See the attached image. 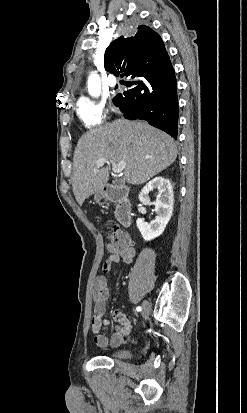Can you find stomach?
Masks as SVG:
<instances>
[{
	"label": "stomach",
	"mask_w": 247,
	"mask_h": 413,
	"mask_svg": "<svg viewBox=\"0 0 247 413\" xmlns=\"http://www.w3.org/2000/svg\"><path fill=\"white\" fill-rule=\"evenodd\" d=\"M94 198L96 202H100V200H103V198H107V194L105 190H103L102 188V190H97V192H95Z\"/></svg>",
	"instance_id": "obj_1"
}]
</instances>
